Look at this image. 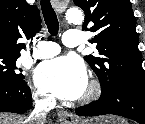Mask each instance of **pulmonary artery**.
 I'll use <instances>...</instances> for the list:
<instances>
[{
  "instance_id": "1",
  "label": "pulmonary artery",
  "mask_w": 145,
  "mask_h": 124,
  "mask_svg": "<svg viewBox=\"0 0 145 124\" xmlns=\"http://www.w3.org/2000/svg\"><path fill=\"white\" fill-rule=\"evenodd\" d=\"M82 40V33L75 29H70L65 32L63 44L66 47H77ZM37 51L33 54L36 59H44L53 57L60 53V47L57 43L51 41H42L38 43Z\"/></svg>"
}]
</instances>
